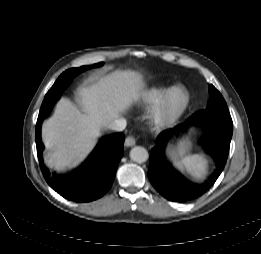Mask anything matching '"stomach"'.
Listing matches in <instances>:
<instances>
[{
	"instance_id": "obj_1",
	"label": "stomach",
	"mask_w": 261,
	"mask_h": 254,
	"mask_svg": "<svg viewBox=\"0 0 261 254\" xmlns=\"http://www.w3.org/2000/svg\"><path fill=\"white\" fill-rule=\"evenodd\" d=\"M190 150L191 142L187 136H184L176 145L170 146L169 154L174 158H183L190 152Z\"/></svg>"
}]
</instances>
